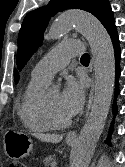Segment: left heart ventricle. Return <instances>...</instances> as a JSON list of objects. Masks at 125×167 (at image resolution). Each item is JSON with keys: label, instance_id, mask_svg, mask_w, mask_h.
<instances>
[{"label": "left heart ventricle", "instance_id": "1", "mask_svg": "<svg viewBox=\"0 0 125 167\" xmlns=\"http://www.w3.org/2000/svg\"><path fill=\"white\" fill-rule=\"evenodd\" d=\"M47 98L53 114L58 119H66L69 117L62 109L60 101V93L58 91L48 93Z\"/></svg>", "mask_w": 125, "mask_h": 167}]
</instances>
